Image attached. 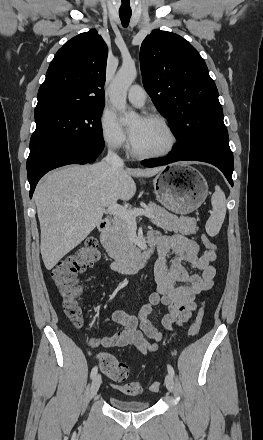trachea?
Returning <instances> with one entry per match:
<instances>
[{
	"label": "trachea",
	"mask_w": 263,
	"mask_h": 440,
	"mask_svg": "<svg viewBox=\"0 0 263 440\" xmlns=\"http://www.w3.org/2000/svg\"><path fill=\"white\" fill-rule=\"evenodd\" d=\"M131 14H132L131 11H129V12H122V11H120L119 12V17H120L121 22H122L124 27L128 26Z\"/></svg>",
	"instance_id": "3493384b"
}]
</instances>
